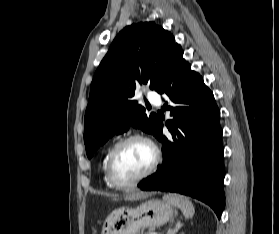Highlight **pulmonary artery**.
<instances>
[{"mask_svg": "<svg viewBox=\"0 0 279 234\" xmlns=\"http://www.w3.org/2000/svg\"><path fill=\"white\" fill-rule=\"evenodd\" d=\"M147 98L152 102L154 103L155 105H160L161 104V101H160V97L158 94H153V93H149L147 95Z\"/></svg>", "mask_w": 279, "mask_h": 234, "instance_id": "obj_1", "label": "pulmonary artery"}]
</instances>
